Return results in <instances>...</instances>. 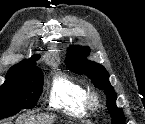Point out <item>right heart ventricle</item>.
<instances>
[{
	"label": "right heart ventricle",
	"mask_w": 145,
	"mask_h": 124,
	"mask_svg": "<svg viewBox=\"0 0 145 124\" xmlns=\"http://www.w3.org/2000/svg\"><path fill=\"white\" fill-rule=\"evenodd\" d=\"M88 88L80 81L67 75H57L52 79L49 104L68 114L80 117L86 113Z\"/></svg>",
	"instance_id": "1"
}]
</instances>
